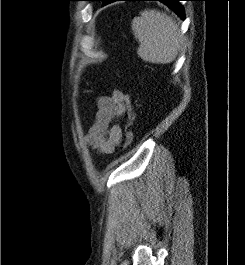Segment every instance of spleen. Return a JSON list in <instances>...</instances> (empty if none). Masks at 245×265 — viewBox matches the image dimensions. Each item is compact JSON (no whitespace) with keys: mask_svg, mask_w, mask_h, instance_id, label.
<instances>
[{"mask_svg":"<svg viewBox=\"0 0 245 265\" xmlns=\"http://www.w3.org/2000/svg\"><path fill=\"white\" fill-rule=\"evenodd\" d=\"M131 27L143 61L167 64L176 59L183 36L172 17L157 10H144L133 19Z\"/></svg>","mask_w":245,"mask_h":265,"instance_id":"1","label":"spleen"}]
</instances>
